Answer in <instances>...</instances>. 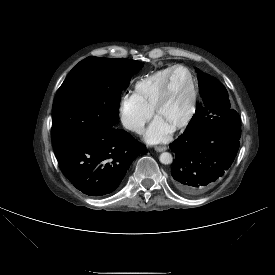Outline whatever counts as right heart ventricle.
Here are the masks:
<instances>
[{
  "mask_svg": "<svg viewBox=\"0 0 275 275\" xmlns=\"http://www.w3.org/2000/svg\"><path fill=\"white\" fill-rule=\"evenodd\" d=\"M173 67L160 69L137 81L133 96L146 108L153 110L159 93Z\"/></svg>",
  "mask_w": 275,
  "mask_h": 275,
  "instance_id": "obj_1",
  "label": "right heart ventricle"
}]
</instances>
